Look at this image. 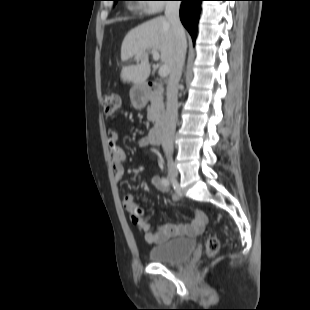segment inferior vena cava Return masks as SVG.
I'll list each match as a JSON object with an SVG mask.
<instances>
[{
	"label": "inferior vena cava",
	"instance_id": "602c4592",
	"mask_svg": "<svg viewBox=\"0 0 310 310\" xmlns=\"http://www.w3.org/2000/svg\"><path fill=\"white\" fill-rule=\"evenodd\" d=\"M180 1H168L165 16L171 23L175 37L173 64L167 86L166 113L162 125V148L166 155H171L174 148V134L178 117V84L185 61L187 42L184 28L179 18Z\"/></svg>",
	"mask_w": 310,
	"mask_h": 310
}]
</instances>
